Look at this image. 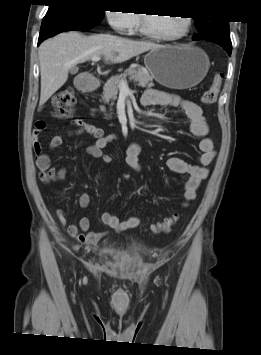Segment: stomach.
<instances>
[{
	"instance_id": "1",
	"label": "stomach",
	"mask_w": 261,
	"mask_h": 355,
	"mask_svg": "<svg viewBox=\"0 0 261 355\" xmlns=\"http://www.w3.org/2000/svg\"><path fill=\"white\" fill-rule=\"evenodd\" d=\"M144 63L152 77L172 89H187L200 83L209 69L206 53L189 44L151 49Z\"/></svg>"
}]
</instances>
